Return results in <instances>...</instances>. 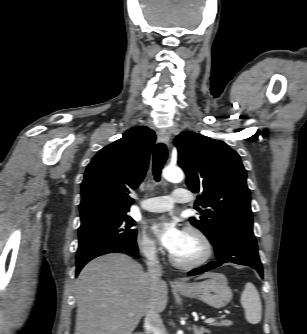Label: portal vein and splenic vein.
I'll return each mask as SVG.
<instances>
[{"label": "portal vein and splenic vein", "instance_id": "18ae733b", "mask_svg": "<svg viewBox=\"0 0 307 334\" xmlns=\"http://www.w3.org/2000/svg\"><path fill=\"white\" fill-rule=\"evenodd\" d=\"M134 313H128V316H133ZM216 320V318H208L204 320L205 323H213Z\"/></svg>", "mask_w": 307, "mask_h": 334}]
</instances>
